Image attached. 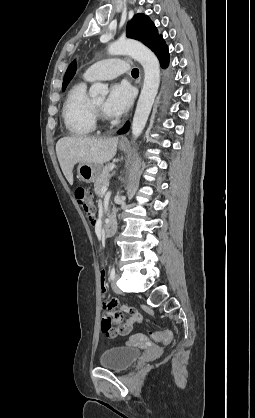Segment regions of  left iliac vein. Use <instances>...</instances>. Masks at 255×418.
Wrapping results in <instances>:
<instances>
[{"instance_id":"obj_1","label":"left iliac vein","mask_w":255,"mask_h":418,"mask_svg":"<svg viewBox=\"0 0 255 418\" xmlns=\"http://www.w3.org/2000/svg\"><path fill=\"white\" fill-rule=\"evenodd\" d=\"M119 279V275H116L115 276V278H114V280L112 281V284H111V286H112V289H113V291L115 292V293H117V294H122V291L119 289V287L117 286V283H116V281Z\"/></svg>"}]
</instances>
